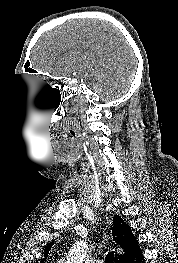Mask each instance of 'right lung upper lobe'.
<instances>
[{
    "mask_svg": "<svg viewBox=\"0 0 178 263\" xmlns=\"http://www.w3.org/2000/svg\"><path fill=\"white\" fill-rule=\"evenodd\" d=\"M112 235L116 245L123 250L121 254L115 255V263H126L140 251L138 240L133 235L130 226L126 224L120 216L114 215ZM53 244L54 243L51 242L46 246L44 258L40 261V263H44L47 259Z\"/></svg>",
    "mask_w": 178,
    "mask_h": 263,
    "instance_id": "1",
    "label": "right lung upper lobe"
}]
</instances>
